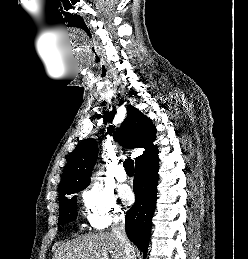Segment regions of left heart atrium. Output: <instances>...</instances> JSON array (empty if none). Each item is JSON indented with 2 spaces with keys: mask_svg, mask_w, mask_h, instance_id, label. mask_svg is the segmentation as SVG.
Returning a JSON list of instances; mask_svg holds the SVG:
<instances>
[{
  "mask_svg": "<svg viewBox=\"0 0 248 259\" xmlns=\"http://www.w3.org/2000/svg\"><path fill=\"white\" fill-rule=\"evenodd\" d=\"M120 196L124 200L125 203L131 204L134 201V195L130 188L123 187L120 190Z\"/></svg>",
  "mask_w": 248,
  "mask_h": 259,
  "instance_id": "1",
  "label": "left heart atrium"
}]
</instances>
